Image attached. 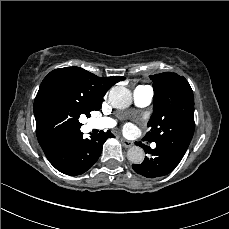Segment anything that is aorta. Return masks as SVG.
Here are the masks:
<instances>
[{"mask_svg": "<svg viewBox=\"0 0 229 229\" xmlns=\"http://www.w3.org/2000/svg\"><path fill=\"white\" fill-rule=\"evenodd\" d=\"M109 103L116 109H125L132 103V94L123 86H114L109 92ZM127 157L133 164H141L145 157L144 150L139 146H133L127 151Z\"/></svg>", "mask_w": 229, "mask_h": 229, "instance_id": "762f6f07", "label": "aorta"}]
</instances>
